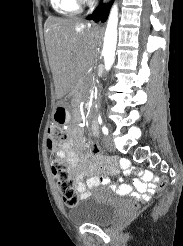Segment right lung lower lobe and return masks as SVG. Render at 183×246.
Here are the masks:
<instances>
[{
	"mask_svg": "<svg viewBox=\"0 0 183 246\" xmlns=\"http://www.w3.org/2000/svg\"><path fill=\"white\" fill-rule=\"evenodd\" d=\"M112 2L113 0L111 1V3L107 6L105 5H99L96 10L93 12V15H92V19L94 21H98V20H102V21H105L108 17V14H109V10H110V7L112 5Z\"/></svg>",
	"mask_w": 183,
	"mask_h": 246,
	"instance_id": "obj_1",
	"label": "right lung lower lobe"
}]
</instances>
